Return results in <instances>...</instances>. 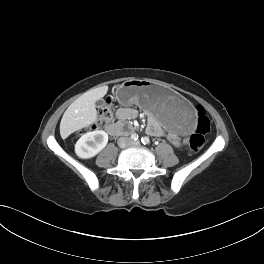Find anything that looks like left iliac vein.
Listing matches in <instances>:
<instances>
[{"label":"left iliac vein","mask_w":264,"mask_h":264,"mask_svg":"<svg viewBox=\"0 0 264 264\" xmlns=\"http://www.w3.org/2000/svg\"><path fill=\"white\" fill-rule=\"evenodd\" d=\"M139 143H140L139 141H134V142H132L131 144H132V145H139Z\"/></svg>","instance_id":"obj_1"}]
</instances>
